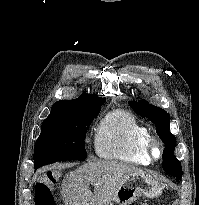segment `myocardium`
I'll return each instance as SVG.
<instances>
[{"label": "myocardium", "mask_w": 199, "mask_h": 205, "mask_svg": "<svg viewBox=\"0 0 199 205\" xmlns=\"http://www.w3.org/2000/svg\"><path fill=\"white\" fill-rule=\"evenodd\" d=\"M144 152L151 161H156L162 156V145L155 137L149 135L144 142Z\"/></svg>", "instance_id": "1"}]
</instances>
